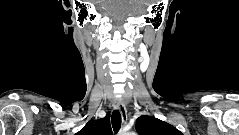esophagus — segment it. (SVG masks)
<instances>
[{"instance_id": "34e87169", "label": "esophagus", "mask_w": 239, "mask_h": 135, "mask_svg": "<svg viewBox=\"0 0 239 135\" xmlns=\"http://www.w3.org/2000/svg\"><path fill=\"white\" fill-rule=\"evenodd\" d=\"M114 108L118 109L120 111L122 121L124 123H126L127 122V110H126L124 103L121 100H117L114 103Z\"/></svg>"}]
</instances>
